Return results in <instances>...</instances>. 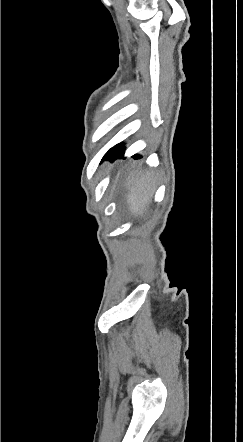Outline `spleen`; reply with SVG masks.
I'll list each match as a JSON object with an SVG mask.
<instances>
[{"mask_svg":"<svg viewBox=\"0 0 243 442\" xmlns=\"http://www.w3.org/2000/svg\"><path fill=\"white\" fill-rule=\"evenodd\" d=\"M132 209L137 211L141 206V201L136 195L131 196Z\"/></svg>","mask_w":243,"mask_h":442,"instance_id":"1","label":"spleen"}]
</instances>
